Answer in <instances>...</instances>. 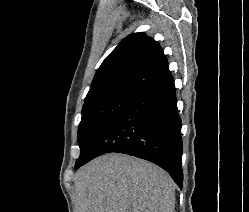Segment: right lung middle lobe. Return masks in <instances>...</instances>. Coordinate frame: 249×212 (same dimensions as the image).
<instances>
[{
	"instance_id": "dd1d6c3e",
	"label": "right lung middle lobe",
	"mask_w": 249,
	"mask_h": 212,
	"mask_svg": "<svg viewBox=\"0 0 249 212\" xmlns=\"http://www.w3.org/2000/svg\"><path fill=\"white\" fill-rule=\"evenodd\" d=\"M138 96L134 92H109L85 101L78 128L80 156L76 160V169L88 157L92 147L114 118Z\"/></svg>"
}]
</instances>
